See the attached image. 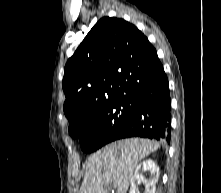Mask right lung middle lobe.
<instances>
[{
  "label": "right lung middle lobe",
  "mask_w": 221,
  "mask_h": 193,
  "mask_svg": "<svg viewBox=\"0 0 221 193\" xmlns=\"http://www.w3.org/2000/svg\"><path fill=\"white\" fill-rule=\"evenodd\" d=\"M134 109V99L114 101L107 107L78 119L69 129V134L73 138L81 137L82 150L93 152L109 143L126 126Z\"/></svg>",
  "instance_id": "right-lung-middle-lobe-1"
}]
</instances>
